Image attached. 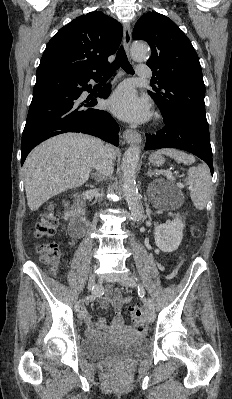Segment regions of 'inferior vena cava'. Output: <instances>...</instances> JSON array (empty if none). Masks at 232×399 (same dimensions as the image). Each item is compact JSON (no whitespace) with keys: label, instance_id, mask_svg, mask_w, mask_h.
<instances>
[{"label":"inferior vena cava","instance_id":"inferior-vena-cava-1","mask_svg":"<svg viewBox=\"0 0 232 399\" xmlns=\"http://www.w3.org/2000/svg\"><path fill=\"white\" fill-rule=\"evenodd\" d=\"M113 156L110 152H107L105 148L100 152V158L95 166L96 170H98L100 176H102V180L105 178H109L113 174Z\"/></svg>","mask_w":232,"mask_h":399}]
</instances>
